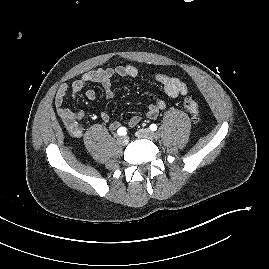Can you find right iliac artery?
Instances as JSON below:
<instances>
[{
    "instance_id": "82829eb1",
    "label": "right iliac artery",
    "mask_w": 269,
    "mask_h": 269,
    "mask_svg": "<svg viewBox=\"0 0 269 269\" xmlns=\"http://www.w3.org/2000/svg\"><path fill=\"white\" fill-rule=\"evenodd\" d=\"M127 133V129L125 127H120L118 130H117V134L118 135H126Z\"/></svg>"
}]
</instances>
